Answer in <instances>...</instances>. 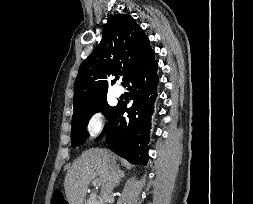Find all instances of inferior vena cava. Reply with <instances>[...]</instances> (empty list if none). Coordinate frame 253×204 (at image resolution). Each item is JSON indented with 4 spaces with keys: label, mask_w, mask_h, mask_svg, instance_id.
Returning a JSON list of instances; mask_svg holds the SVG:
<instances>
[{
    "label": "inferior vena cava",
    "mask_w": 253,
    "mask_h": 204,
    "mask_svg": "<svg viewBox=\"0 0 253 204\" xmlns=\"http://www.w3.org/2000/svg\"><path fill=\"white\" fill-rule=\"evenodd\" d=\"M117 182V172L115 171L114 167H110L105 178L104 183L101 187V197L103 202H105L112 194V191ZM104 204V203H102Z\"/></svg>",
    "instance_id": "inferior-vena-cava-1"
}]
</instances>
